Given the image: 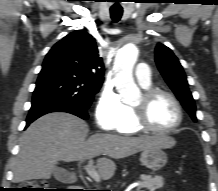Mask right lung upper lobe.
<instances>
[{"instance_id": "1", "label": "right lung upper lobe", "mask_w": 218, "mask_h": 191, "mask_svg": "<svg viewBox=\"0 0 218 191\" xmlns=\"http://www.w3.org/2000/svg\"><path fill=\"white\" fill-rule=\"evenodd\" d=\"M44 62L62 65L93 82L102 84L104 64L95 39L83 30H76L57 42Z\"/></svg>"}]
</instances>
